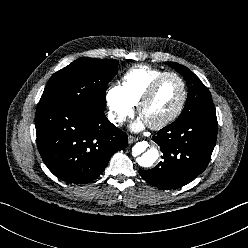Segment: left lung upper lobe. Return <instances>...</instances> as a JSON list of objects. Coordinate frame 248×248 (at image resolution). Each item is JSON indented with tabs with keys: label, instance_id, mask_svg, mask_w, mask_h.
<instances>
[{
	"label": "left lung upper lobe",
	"instance_id": "5c2ea615",
	"mask_svg": "<svg viewBox=\"0 0 248 248\" xmlns=\"http://www.w3.org/2000/svg\"><path fill=\"white\" fill-rule=\"evenodd\" d=\"M166 64L179 72L189 85L185 107L175 122L183 121L198 115L215 113L211 94L200 79L189 69L180 64L174 62H166Z\"/></svg>",
	"mask_w": 248,
	"mask_h": 248
}]
</instances>
